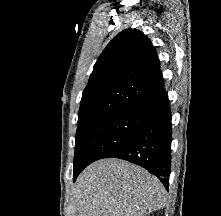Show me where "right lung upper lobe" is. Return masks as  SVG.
<instances>
[{
    "instance_id": "right-lung-upper-lobe-1",
    "label": "right lung upper lobe",
    "mask_w": 221,
    "mask_h": 216,
    "mask_svg": "<svg viewBox=\"0 0 221 216\" xmlns=\"http://www.w3.org/2000/svg\"><path fill=\"white\" fill-rule=\"evenodd\" d=\"M166 95L152 43L142 32L126 29L95 63L82 94L78 124L115 112L147 114Z\"/></svg>"
}]
</instances>
